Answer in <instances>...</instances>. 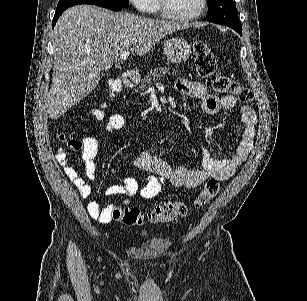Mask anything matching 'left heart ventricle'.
<instances>
[{"mask_svg":"<svg viewBox=\"0 0 307 301\" xmlns=\"http://www.w3.org/2000/svg\"><path fill=\"white\" fill-rule=\"evenodd\" d=\"M170 3L169 13H187L197 11L199 0H165ZM171 5L172 8H171Z\"/></svg>","mask_w":307,"mask_h":301,"instance_id":"left-heart-ventricle-1","label":"left heart ventricle"}]
</instances>
